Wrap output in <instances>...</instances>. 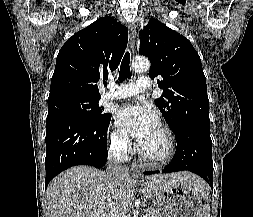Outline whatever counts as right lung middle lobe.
<instances>
[{"instance_id":"dd1d6c3e","label":"right lung middle lobe","mask_w":253,"mask_h":217,"mask_svg":"<svg viewBox=\"0 0 253 217\" xmlns=\"http://www.w3.org/2000/svg\"><path fill=\"white\" fill-rule=\"evenodd\" d=\"M100 98L67 97L48 102L46 125L63 119H83L92 123H102L111 118L99 106Z\"/></svg>"}]
</instances>
